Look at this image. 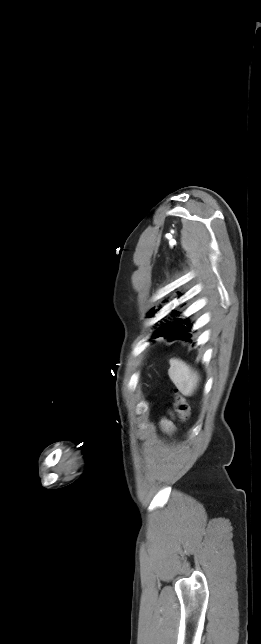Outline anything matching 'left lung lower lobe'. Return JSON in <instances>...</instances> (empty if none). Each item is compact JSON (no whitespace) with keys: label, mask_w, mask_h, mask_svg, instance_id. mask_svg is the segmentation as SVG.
Segmentation results:
<instances>
[{"label":"left lung lower lobe","mask_w":261,"mask_h":644,"mask_svg":"<svg viewBox=\"0 0 261 644\" xmlns=\"http://www.w3.org/2000/svg\"><path fill=\"white\" fill-rule=\"evenodd\" d=\"M191 327H192V325L184 326V327L179 328V329H177L175 331H172L171 333H169L165 337L169 341H173V340H177V339H180V340H183V341H192V337H193L194 332L191 331Z\"/></svg>","instance_id":"0a47b994"}]
</instances>
